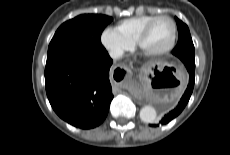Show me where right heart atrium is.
Masks as SVG:
<instances>
[{
    "instance_id": "obj_1",
    "label": "right heart atrium",
    "mask_w": 230,
    "mask_h": 155,
    "mask_svg": "<svg viewBox=\"0 0 230 155\" xmlns=\"http://www.w3.org/2000/svg\"><path fill=\"white\" fill-rule=\"evenodd\" d=\"M100 42L114 58H121L131 50L133 44L122 37L114 28H105L100 35Z\"/></svg>"
}]
</instances>
